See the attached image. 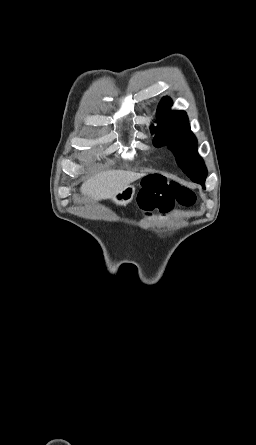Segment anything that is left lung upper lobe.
<instances>
[{
    "label": "left lung upper lobe",
    "mask_w": 256,
    "mask_h": 445,
    "mask_svg": "<svg viewBox=\"0 0 256 445\" xmlns=\"http://www.w3.org/2000/svg\"><path fill=\"white\" fill-rule=\"evenodd\" d=\"M169 97H163L157 108V126L151 127V133H156L154 144L167 145L176 156L179 167L196 183H205L207 168L198 155L197 139L190 131L188 117L184 111H171Z\"/></svg>",
    "instance_id": "left-lung-upper-lobe-1"
}]
</instances>
